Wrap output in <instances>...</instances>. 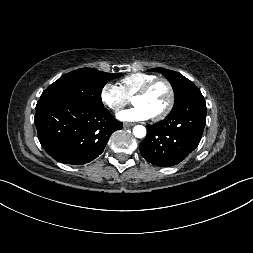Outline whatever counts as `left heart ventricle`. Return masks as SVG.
<instances>
[{
    "label": "left heart ventricle",
    "mask_w": 253,
    "mask_h": 253,
    "mask_svg": "<svg viewBox=\"0 0 253 253\" xmlns=\"http://www.w3.org/2000/svg\"><path fill=\"white\" fill-rule=\"evenodd\" d=\"M169 100V92L167 86L159 82L148 94L133 98L135 105H142L151 114V117L159 114L167 105Z\"/></svg>",
    "instance_id": "b2bd125f"
}]
</instances>
